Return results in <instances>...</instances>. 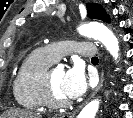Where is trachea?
Returning <instances> with one entry per match:
<instances>
[{
  "mask_svg": "<svg viewBox=\"0 0 133 118\" xmlns=\"http://www.w3.org/2000/svg\"><path fill=\"white\" fill-rule=\"evenodd\" d=\"M91 60L92 61H98V57H93Z\"/></svg>",
  "mask_w": 133,
  "mask_h": 118,
  "instance_id": "1",
  "label": "trachea"
}]
</instances>
